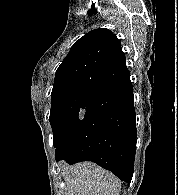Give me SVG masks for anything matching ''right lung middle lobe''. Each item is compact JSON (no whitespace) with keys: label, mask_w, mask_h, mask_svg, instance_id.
Returning a JSON list of instances; mask_svg holds the SVG:
<instances>
[{"label":"right lung middle lobe","mask_w":178,"mask_h":195,"mask_svg":"<svg viewBox=\"0 0 178 195\" xmlns=\"http://www.w3.org/2000/svg\"><path fill=\"white\" fill-rule=\"evenodd\" d=\"M96 95L88 92H73L51 98L49 120L52 125L55 148L83 118Z\"/></svg>","instance_id":"dd1d6c3e"}]
</instances>
